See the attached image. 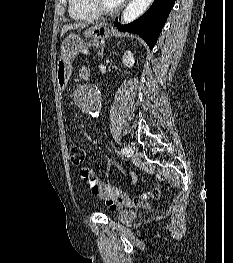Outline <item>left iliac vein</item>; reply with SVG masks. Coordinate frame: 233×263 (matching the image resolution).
<instances>
[{
    "instance_id": "4c4485c4",
    "label": "left iliac vein",
    "mask_w": 233,
    "mask_h": 263,
    "mask_svg": "<svg viewBox=\"0 0 233 263\" xmlns=\"http://www.w3.org/2000/svg\"><path fill=\"white\" fill-rule=\"evenodd\" d=\"M131 157L134 161H138L140 159V153L136 146H131Z\"/></svg>"
}]
</instances>
